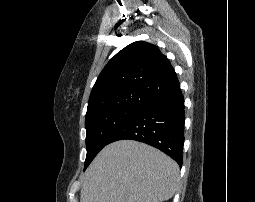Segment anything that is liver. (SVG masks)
Listing matches in <instances>:
<instances>
[{"label": "liver", "instance_id": "1", "mask_svg": "<svg viewBox=\"0 0 255 202\" xmlns=\"http://www.w3.org/2000/svg\"><path fill=\"white\" fill-rule=\"evenodd\" d=\"M178 182L179 166L165 153L138 141H116L86 170L80 202H163Z\"/></svg>", "mask_w": 255, "mask_h": 202}]
</instances>
